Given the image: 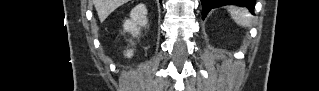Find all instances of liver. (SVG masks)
I'll list each match as a JSON object with an SVG mask.
<instances>
[{
  "mask_svg": "<svg viewBox=\"0 0 319 91\" xmlns=\"http://www.w3.org/2000/svg\"><path fill=\"white\" fill-rule=\"evenodd\" d=\"M99 20L103 22L116 8L128 2V0H93Z\"/></svg>",
  "mask_w": 319,
  "mask_h": 91,
  "instance_id": "1",
  "label": "liver"
}]
</instances>
